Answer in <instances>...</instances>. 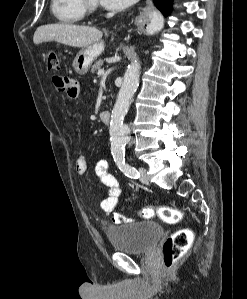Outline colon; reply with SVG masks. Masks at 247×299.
Returning <instances> with one entry per match:
<instances>
[{"mask_svg": "<svg viewBox=\"0 0 247 299\" xmlns=\"http://www.w3.org/2000/svg\"><path fill=\"white\" fill-rule=\"evenodd\" d=\"M46 65L49 70H56L59 66L58 56L53 50L45 53ZM143 218L150 219L158 217L166 223L175 224L179 222L183 214L174 207L157 206L146 207L140 211ZM193 240L190 229L182 228L170 235L163 244V260L166 267L173 266L188 251Z\"/></svg>", "mask_w": 247, "mask_h": 299, "instance_id": "5ec220e1", "label": "colon"}]
</instances>
